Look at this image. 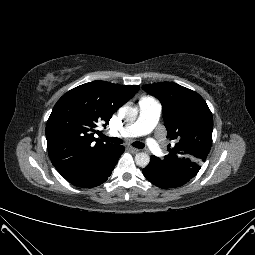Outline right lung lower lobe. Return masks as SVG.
Wrapping results in <instances>:
<instances>
[{
    "label": "right lung lower lobe",
    "mask_w": 255,
    "mask_h": 255,
    "mask_svg": "<svg viewBox=\"0 0 255 255\" xmlns=\"http://www.w3.org/2000/svg\"><path fill=\"white\" fill-rule=\"evenodd\" d=\"M123 152L124 146L116 145L113 152L106 159L81 174L66 180L77 187H96L108 179Z\"/></svg>",
    "instance_id": "1"
}]
</instances>
